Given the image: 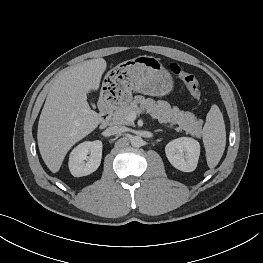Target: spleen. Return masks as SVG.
Segmentation results:
<instances>
[{
	"label": "spleen",
	"instance_id": "1",
	"mask_svg": "<svg viewBox=\"0 0 263 263\" xmlns=\"http://www.w3.org/2000/svg\"><path fill=\"white\" fill-rule=\"evenodd\" d=\"M203 144L209 168H214L220 161L226 146V130L223 115L217 105H212L203 127Z\"/></svg>",
	"mask_w": 263,
	"mask_h": 263
}]
</instances>
